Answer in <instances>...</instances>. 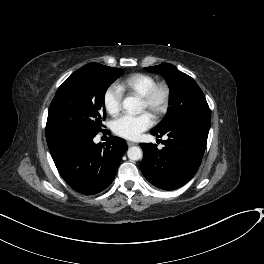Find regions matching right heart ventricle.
Returning <instances> with one entry per match:
<instances>
[{"label": "right heart ventricle", "mask_w": 264, "mask_h": 264, "mask_svg": "<svg viewBox=\"0 0 264 264\" xmlns=\"http://www.w3.org/2000/svg\"><path fill=\"white\" fill-rule=\"evenodd\" d=\"M157 80L154 76L145 73H134L126 77L119 83V88L123 91L144 96Z\"/></svg>", "instance_id": "obj_1"}]
</instances>
